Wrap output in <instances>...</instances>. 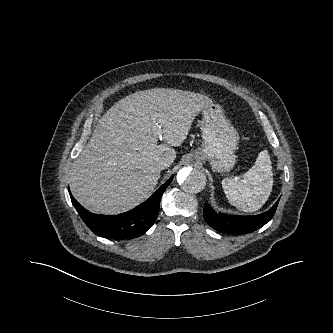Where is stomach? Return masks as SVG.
<instances>
[{"label":"stomach","mask_w":333,"mask_h":333,"mask_svg":"<svg viewBox=\"0 0 333 333\" xmlns=\"http://www.w3.org/2000/svg\"><path fill=\"white\" fill-rule=\"evenodd\" d=\"M202 114L203 143L194 157L201 161L208 160L215 172L229 171L236 162L239 134L218 104L206 106Z\"/></svg>","instance_id":"1"}]
</instances>
